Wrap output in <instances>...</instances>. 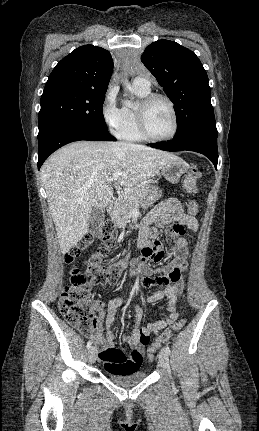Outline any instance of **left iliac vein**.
<instances>
[{"label": "left iliac vein", "mask_w": 259, "mask_h": 431, "mask_svg": "<svg viewBox=\"0 0 259 431\" xmlns=\"http://www.w3.org/2000/svg\"><path fill=\"white\" fill-rule=\"evenodd\" d=\"M159 363L161 365V367L168 373L170 374V364H169V357L168 354L166 353V351L164 349H162L159 352Z\"/></svg>", "instance_id": "left-iliac-vein-1"}]
</instances>
